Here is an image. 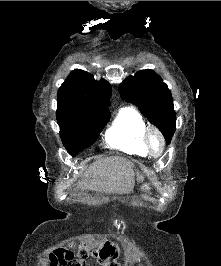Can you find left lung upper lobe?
I'll return each instance as SVG.
<instances>
[{
	"instance_id": "5c2ea615",
	"label": "left lung upper lobe",
	"mask_w": 221,
	"mask_h": 266,
	"mask_svg": "<svg viewBox=\"0 0 221 266\" xmlns=\"http://www.w3.org/2000/svg\"><path fill=\"white\" fill-rule=\"evenodd\" d=\"M123 100L135 104L164 135L169 144L176 130V114L168 86L153 70H141L120 85Z\"/></svg>"
}]
</instances>
